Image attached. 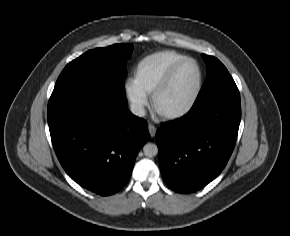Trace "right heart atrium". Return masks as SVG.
<instances>
[{
  "mask_svg": "<svg viewBox=\"0 0 290 236\" xmlns=\"http://www.w3.org/2000/svg\"><path fill=\"white\" fill-rule=\"evenodd\" d=\"M125 94L131 109L138 115L143 114L148 104V94L134 80L126 82Z\"/></svg>",
  "mask_w": 290,
  "mask_h": 236,
  "instance_id": "obj_1",
  "label": "right heart atrium"
}]
</instances>
